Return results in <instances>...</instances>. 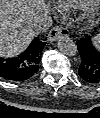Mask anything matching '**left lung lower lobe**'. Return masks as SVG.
Listing matches in <instances>:
<instances>
[{"instance_id": "0a47b994", "label": "left lung lower lobe", "mask_w": 100, "mask_h": 118, "mask_svg": "<svg viewBox=\"0 0 100 118\" xmlns=\"http://www.w3.org/2000/svg\"><path fill=\"white\" fill-rule=\"evenodd\" d=\"M77 48L81 56L80 77L87 83L100 84V51L93 46L89 36L77 40Z\"/></svg>"}]
</instances>
